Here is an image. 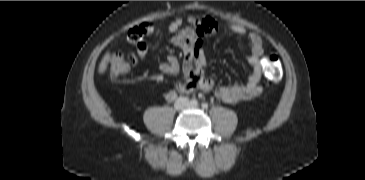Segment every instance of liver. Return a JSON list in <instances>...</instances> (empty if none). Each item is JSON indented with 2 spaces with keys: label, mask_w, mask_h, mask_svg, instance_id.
<instances>
[{
  "label": "liver",
  "mask_w": 365,
  "mask_h": 180,
  "mask_svg": "<svg viewBox=\"0 0 365 180\" xmlns=\"http://www.w3.org/2000/svg\"><path fill=\"white\" fill-rule=\"evenodd\" d=\"M109 60H110V52L107 51L99 64V67H98L99 74L102 75L106 72Z\"/></svg>",
  "instance_id": "obj_1"
}]
</instances>
